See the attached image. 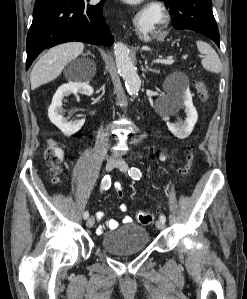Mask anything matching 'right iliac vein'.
I'll use <instances>...</instances> for the list:
<instances>
[{
  "instance_id": "right-iliac-vein-1",
  "label": "right iliac vein",
  "mask_w": 247,
  "mask_h": 299,
  "mask_svg": "<svg viewBox=\"0 0 247 299\" xmlns=\"http://www.w3.org/2000/svg\"><path fill=\"white\" fill-rule=\"evenodd\" d=\"M116 163H117V159L115 157H109L107 159L106 166H105L106 171L108 172L111 171L116 166ZM94 223H95L94 217H90L88 218L86 225L88 228H92Z\"/></svg>"
}]
</instances>
